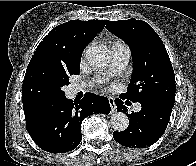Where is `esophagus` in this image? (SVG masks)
I'll list each match as a JSON object with an SVG mask.
<instances>
[{"instance_id": "obj_1", "label": "esophagus", "mask_w": 196, "mask_h": 166, "mask_svg": "<svg viewBox=\"0 0 196 166\" xmlns=\"http://www.w3.org/2000/svg\"><path fill=\"white\" fill-rule=\"evenodd\" d=\"M108 100H109L110 107H111V113H114L116 111V104H115L114 98L109 97Z\"/></svg>"}]
</instances>
